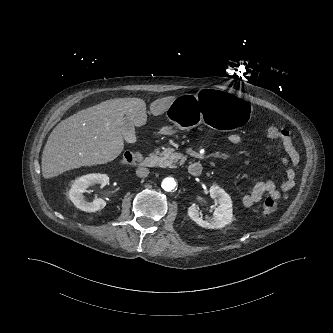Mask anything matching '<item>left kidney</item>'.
<instances>
[{
    "mask_svg": "<svg viewBox=\"0 0 333 333\" xmlns=\"http://www.w3.org/2000/svg\"><path fill=\"white\" fill-rule=\"evenodd\" d=\"M209 192L211 198L219 203L213 213V218L209 221L204 220L201 212L195 206L188 208V215L196 224L203 228L219 229L232 222V201L224 189L218 186H211Z\"/></svg>",
    "mask_w": 333,
    "mask_h": 333,
    "instance_id": "5707ae66",
    "label": "left kidney"
}]
</instances>
